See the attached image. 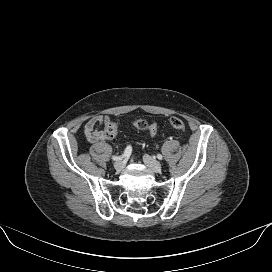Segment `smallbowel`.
I'll return each instance as SVG.
<instances>
[{
    "label": "small bowel",
    "mask_w": 272,
    "mask_h": 272,
    "mask_svg": "<svg viewBox=\"0 0 272 272\" xmlns=\"http://www.w3.org/2000/svg\"><path fill=\"white\" fill-rule=\"evenodd\" d=\"M112 123V120L107 115H95L88 120L84 126V134L86 139L94 144L106 139L105 131L99 129L100 126L105 128Z\"/></svg>",
    "instance_id": "small-bowel-1"
}]
</instances>
